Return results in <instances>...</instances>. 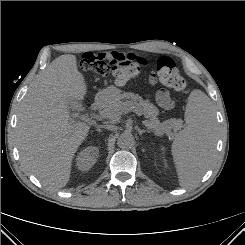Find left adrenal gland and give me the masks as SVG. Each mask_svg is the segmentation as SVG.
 <instances>
[{"label": "left adrenal gland", "mask_w": 245, "mask_h": 245, "mask_svg": "<svg viewBox=\"0 0 245 245\" xmlns=\"http://www.w3.org/2000/svg\"><path fill=\"white\" fill-rule=\"evenodd\" d=\"M150 133V131L149 130H141V129H138V133H139V135H142L143 133Z\"/></svg>", "instance_id": "a2214340"}]
</instances>
